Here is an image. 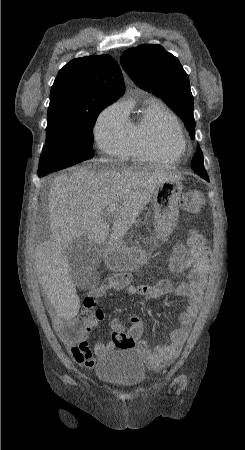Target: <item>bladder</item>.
I'll return each mask as SVG.
<instances>
[{
  "mask_svg": "<svg viewBox=\"0 0 245 450\" xmlns=\"http://www.w3.org/2000/svg\"><path fill=\"white\" fill-rule=\"evenodd\" d=\"M96 366L99 380L124 391L136 390L146 378L143 363L130 347L106 354Z\"/></svg>",
  "mask_w": 245,
  "mask_h": 450,
  "instance_id": "1",
  "label": "bladder"
}]
</instances>
